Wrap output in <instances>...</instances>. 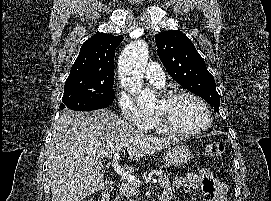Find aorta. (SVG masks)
<instances>
[{
    "label": "aorta",
    "instance_id": "obj_1",
    "mask_svg": "<svg viewBox=\"0 0 271 201\" xmlns=\"http://www.w3.org/2000/svg\"><path fill=\"white\" fill-rule=\"evenodd\" d=\"M148 54L147 44L137 40L125 47L118 61L123 84L141 106H149L155 101L154 92L141 86Z\"/></svg>",
    "mask_w": 271,
    "mask_h": 201
}]
</instances>
